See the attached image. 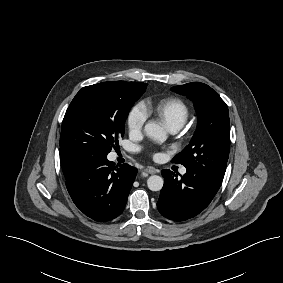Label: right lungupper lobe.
Returning <instances> with one entry per match:
<instances>
[{
	"label": "right lung upper lobe",
	"mask_w": 283,
	"mask_h": 283,
	"mask_svg": "<svg viewBox=\"0 0 283 283\" xmlns=\"http://www.w3.org/2000/svg\"><path fill=\"white\" fill-rule=\"evenodd\" d=\"M60 159L64 176H67L80 162V160L68 156L62 150H60Z\"/></svg>",
	"instance_id": "1"
}]
</instances>
